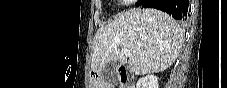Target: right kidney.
Wrapping results in <instances>:
<instances>
[{
	"instance_id": "obj_1",
	"label": "right kidney",
	"mask_w": 227,
	"mask_h": 88,
	"mask_svg": "<svg viewBox=\"0 0 227 88\" xmlns=\"http://www.w3.org/2000/svg\"><path fill=\"white\" fill-rule=\"evenodd\" d=\"M136 88H159L158 78L155 75H146L137 81Z\"/></svg>"
}]
</instances>
